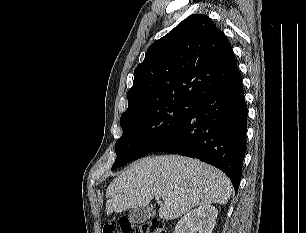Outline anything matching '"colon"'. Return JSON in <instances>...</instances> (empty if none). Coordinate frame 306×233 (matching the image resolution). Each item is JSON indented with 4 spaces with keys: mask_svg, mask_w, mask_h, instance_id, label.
Returning <instances> with one entry per match:
<instances>
[{
    "mask_svg": "<svg viewBox=\"0 0 306 233\" xmlns=\"http://www.w3.org/2000/svg\"><path fill=\"white\" fill-rule=\"evenodd\" d=\"M103 233H169V231L163 221L153 218L139 224H134L128 219L110 221L103 226Z\"/></svg>",
    "mask_w": 306,
    "mask_h": 233,
    "instance_id": "obj_1",
    "label": "colon"
}]
</instances>
